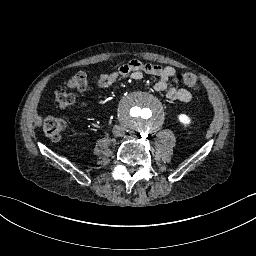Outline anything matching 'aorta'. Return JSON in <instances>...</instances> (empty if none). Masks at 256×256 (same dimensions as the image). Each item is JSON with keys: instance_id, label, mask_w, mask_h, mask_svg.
Returning <instances> with one entry per match:
<instances>
[{"instance_id": "obj_1", "label": "aorta", "mask_w": 256, "mask_h": 256, "mask_svg": "<svg viewBox=\"0 0 256 256\" xmlns=\"http://www.w3.org/2000/svg\"><path fill=\"white\" fill-rule=\"evenodd\" d=\"M118 116L132 130L140 134H152L162 127L165 110L158 100L142 92H131L121 99Z\"/></svg>"}]
</instances>
